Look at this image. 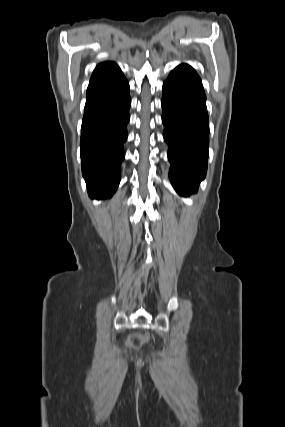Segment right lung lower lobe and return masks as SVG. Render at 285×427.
Masks as SVG:
<instances>
[{
    "label": "right lung lower lobe",
    "mask_w": 285,
    "mask_h": 427,
    "mask_svg": "<svg viewBox=\"0 0 285 427\" xmlns=\"http://www.w3.org/2000/svg\"><path fill=\"white\" fill-rule=\"evenodd\" d=\"M129 84L119 67L90 80L81 127L82 174L93 199L116 191L129 121Z\"/></svg>",
    "instance_id": "1"
}]
</instances>
